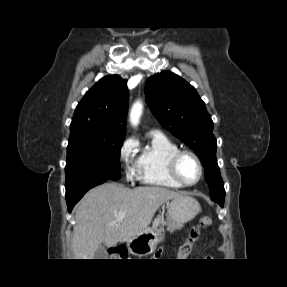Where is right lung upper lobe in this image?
Returning <instances> with one entry per match:
<instances>
[{
	"label": "right lung upper lobe",
	"mask_w": 287,
	"mask_h": 287,
	"mask_svg": "<svg viewBox=\"0 0 287 287\" xmlns=\"http://www.w3.org/2000/svg\"><path fill=\"white\" fill-rule=\"evenodd\" d=\"M126 82L118 75L100 79L77 105L70 131L87 129L96 136L124 137L128 110Z\"/></svg>",
	"instance_id": "right-lung-upper-lobe-1"
}]
</instances>
